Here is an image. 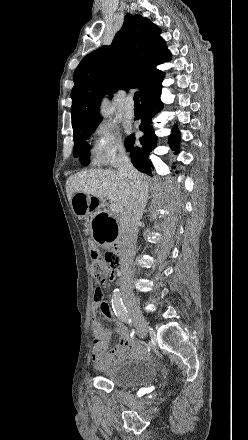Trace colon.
Returning a JSON list of instances; mask_svg holds the SVG:
<instances>
[{
	"mask_svg": "<svg viewBox=\"0 0 248 440\" xmlns=\"http://www.w3.org/2000/svg\"><path fill=\"white\" fill-rule=\"evenodd\" d=\"M92 258V272L95 280L98 283H103L107 280L109 271L112 267H119V258L112 251H105L103 255L98 249L91 251ZM104 293L100 287H96L94 299L102 300Z\"/></svg>",
	"mask_w": 248,
	"mask_h": 440,
	"instance_id": "colon-1",
	"label": "colon"
}]
</instances>
